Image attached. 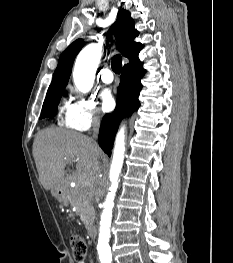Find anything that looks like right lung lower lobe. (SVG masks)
Masks as SVG:
<instances>
[{
    "mask_svg": "<svg viewBox=\"0 0 233 263\" xmlns=\"http://www.w3.org/2000/svg\"><path fill=\"white\" fill-rule=\"evenodd\" d=\"M142 64L137 61L123 67L116 108L112 114H106L102 119L98 142L109 156L120 121L139 107L138 95L142 88L140 80L145 73Z\"/></svg>",
    "mask_w": 233,
    "mask_h": 263,
    "instance_id": "right-lung-lower-lobe-1",
    "label": "right lung lower lobe"
}]
</instances>
